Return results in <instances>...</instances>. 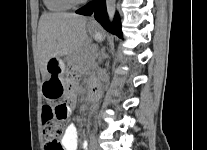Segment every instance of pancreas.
<instances>
[{
  "label": "pancreas",
  "instance_id": "1",
  "mask_svg": "<svg viewBox=\"0 0 207 150\" xmlns=\"http://www.w3.org/2000/svg\"><path fill=\"white\" fill-rule=\"evenodd\" d=\"M94 50L95 49H85L83 52L77 57L76 61L80 67L88 66L94 60Z\"/></svg>",
  "mask_w": 207,
  "mask_h": 150
}]
</instances>
